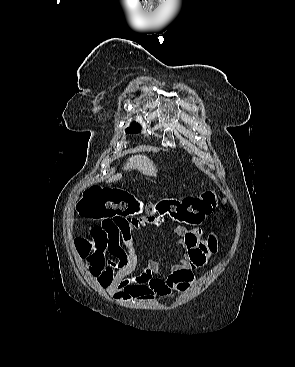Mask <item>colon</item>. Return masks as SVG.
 Here are the masks:
<instances>
[{"instance_id":"obj_1","label":"colon","mask_w":295,"mask_h":367,"mask_svg":"<svg viewBox=\"0 0 295 367\" xmlns=\"http://www.w3.org/2000/svg\"><path fill=\"white\" fill-rule=\"evenodd\" d=\"M214 205L215 194L208 190L197 197L163 199L149 209L162 222L168 217L169 220L197 226L211 213ZM76 209L82 217L107 222L130 218L141 209V205L122 188L93 186L83 193ZM91 238V241L78 238L76 247L81 257L88 260L91 272L96 275L104 267L105 237L100 226L91 229Z\"/></svg>"}]
</instances>
